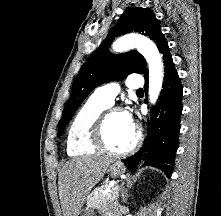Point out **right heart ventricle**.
<instances>
[{"instance_id":"obj_1","label":"right heart ventricle","mask_w":221,"mask_h":216,"mask_svg":"<svg viewBox=\"0 0 221 216\" xmlns=\"http://www.w3.org/2000/svg\"><path fill=\"white\" fill-rule=\"evenodd\" d=\"M108 107L91 97L77 112L67 133V153L70 156H88L97 152L93 143V130Z\"/></svg>"}]
</instances>
